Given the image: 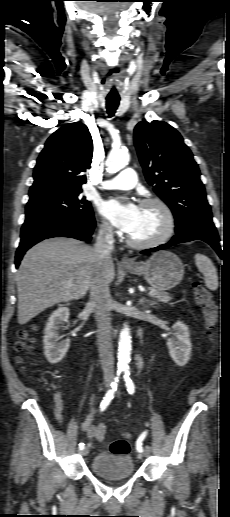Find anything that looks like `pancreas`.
Listing matches in <instances>:
<instances>
[{
    "label": "pancreas",
    "instance_id": "cf45deb5",
    "mask_svg": "<svg viewBox=\"0 0 230 517\" xmlns=\"http://www.w3.org/2000/svg\"><path fill=\"white\" fill-rule=\"evenodd\" d=\"M152 290L156 291V295L153 296L156 299V301L163 302V303H169V301L172 300V297L170 296L169 293L161 291V290H157L154 288H150V291H152Z\"/></svg>",
    "mask_w": 230,
    "mask_h": 517
}]
</instances>
